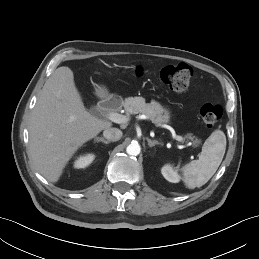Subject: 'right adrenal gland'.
Masks as SVG:
<instances>
[{"label":"right adrenal gland","mask_w":259,"mask_h":259,"mask_svg":"<svg viewBox=\"0 0 259 259\" xmlns=\"http://www.w3.org/2000/svg\"><path fill=\"white\" fill-rule=\"evenodd\" d=\"M95 142H102V143H104V144H109L110 143V141H107V140H105L103 137H97V138H95Z\"/></svg>","instance_id":"2a0ac1e0"}]
</instances>
